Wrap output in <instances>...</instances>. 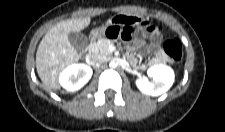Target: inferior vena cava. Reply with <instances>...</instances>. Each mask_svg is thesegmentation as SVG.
Here are the masks:
<instances>
[{"label":"inferior vena cava","instance_id":"602c4592","mask_svg":"<svg viewBox=\"0 0 225 132\" xmlns=\"http://www.w3.org/2000/svg\"><path fill=\"white\" fill-rule=\"evenodd\" d=\"M105 61V58L101 55H92L90 59L91 65H100Z\"/></svg>","mask_w":225,"mask_h":132}]
</instances>
